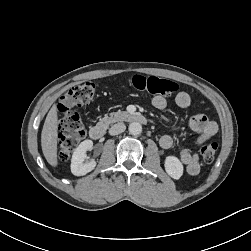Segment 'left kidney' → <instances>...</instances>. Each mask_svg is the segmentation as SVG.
<instances>
[{"instance_id":"1","label":"left kidney","mask_w":251,"mask_h":251,"mask_svg":"<svg viewBox=\"0 0 251 251\" xmlns=\"http://www.w3.org/2000/svg\"><path fill=\"white\" fill-rule=\"evenodd\" d=\"M164 166L167 174L173 179H180L183 175V165L175 156H167Z\"/></svg>"}]
</instances>
